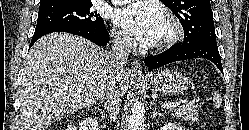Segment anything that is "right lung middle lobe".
<instances>
[{
  "mask_svg": "<svg viewBox=\"0 0 249 130\" xmlns=\"http://www.w3.org/2000/svg\"><path fill=\"white\" fill-rule=\"evenodd\" d=\"M92 6L91 0H71L40 7L35 32L66 26L102 29L104 21L96 11L91 10Z\"/></svg>",
  "mask_w": 249,
  "mask_h": 130,
  "instance_id": "dd1d6c3e",
  "label": "right lung middle lobe"
}]
</instances>
